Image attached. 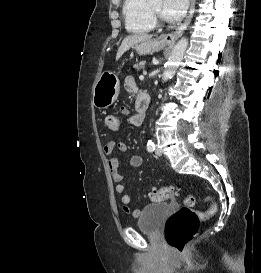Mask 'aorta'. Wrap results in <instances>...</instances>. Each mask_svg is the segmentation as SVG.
Returning a JSON list of instances; mask_svg holds the SVG:
<instances>
[{"label":"aorta","instance_id":"aorta-1","mask_svg":"<svg viewBox=\"0 0 261 273\" xmlns=\"http://www.w3.org/2000/svg\"><path fill=\"white\" fill-rule=\"evenodd\" d=\"M188 46V39H180L173 47L169 60L166 63L164 72L162 74V80H168L174 73L176 68L182 63L185 51Z\"/></svg>","mask_w":261,"mask_h":273}]
</instances>
